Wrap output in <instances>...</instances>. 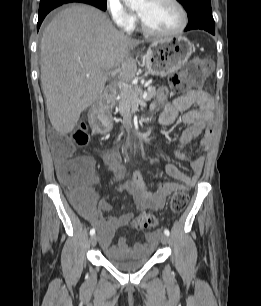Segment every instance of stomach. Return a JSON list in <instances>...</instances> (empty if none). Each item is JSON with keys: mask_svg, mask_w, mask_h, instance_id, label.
Masks as SVG:
<instances>
[{"mask_svg": "<svg viewBox=\"0 0 261 306\" xmlns=\"http://www.w3.org/2000/svg\"><path fill=\"white\" fill-rule=\"evenodd\" d=\"M194 52V45L184 36H172L155 40L149 46L144 64L148 74L166 76L178 71ZM90 125L97 133H107L111 127L110 117L93 113Z\"/></svg>", "mask_w": 261, "mask_h": 306, "instance_id": "1", "label": "stomach"}]
</instances>
